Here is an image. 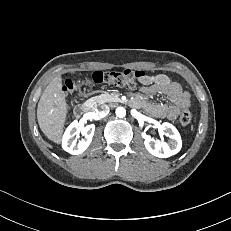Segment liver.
I'll return each instance as SVG.
<instances>
[{
  "instance_id": "1",
  "label": "liver",
  "mask_w": 231,
  "mask_h": 231,
  "mask_svg": "<svg viewBox=\"0 0 231 231\" xmlns=\"http://www.w3.org/2000/svg\"><path fill=\"white\" fill-rule=\"evenodd\" d=\"M68 114L62 77L56 76L45 88L37 106V120L41 131L54 143L60 144Z\"/></svg>"
}]
</instances>
